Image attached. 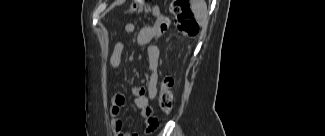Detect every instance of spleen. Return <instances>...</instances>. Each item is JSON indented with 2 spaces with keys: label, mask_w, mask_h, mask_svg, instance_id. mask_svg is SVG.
<instances>
[{
  "label": "spleen",
  "mask_w": 325,
  "mask_h": 136,
  "mask_svg": "<svg viewBox=\"0 0 325 136\" xmlns=\"http://www.w3.org/2000/svg\"><path fill=\"white\" fill-rule=\"evenodd\" d=\"M196 18L199 20L207 19V7L205 1H200V8L194 10Z\"/></svg>",
  "instance_id": "obj_1"
}]
</instances>
